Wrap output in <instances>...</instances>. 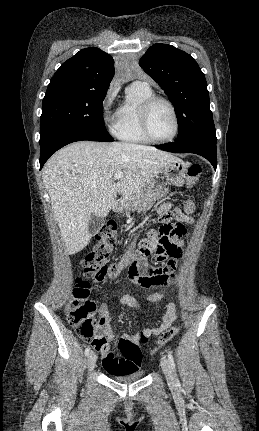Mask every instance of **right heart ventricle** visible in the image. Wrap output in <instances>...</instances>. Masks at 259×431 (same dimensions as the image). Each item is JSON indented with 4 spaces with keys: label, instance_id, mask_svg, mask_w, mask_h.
<instances>
[{
    "label": "right heart ventricle",
    "instance_id": "e07e8e85",
    "mask_svg": "<svg viewBox=\"0 0 259 431\" xmlns=\"http://www.w3.org/2000/svg\"><path fill=\"white\" fill-rule=\"evenodd\" d=\"M152 95L149 87L132 84L127 89L126 100L119 109L118 121L114 128L117 138L128 143H150L141 129L139 111L141 104Z\"/></svg>",
    "mask_w": 259,
    "mask_h": 431
}]
</instances>
